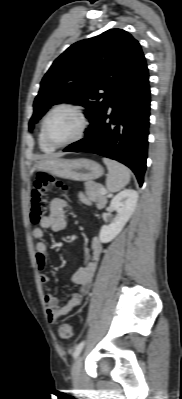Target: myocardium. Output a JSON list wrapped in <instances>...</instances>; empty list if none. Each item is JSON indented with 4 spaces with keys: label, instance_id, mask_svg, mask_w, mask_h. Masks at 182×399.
Masks as SVG:
<instances>
[{
    "label": "myocardium",
    "instance_id": "f54148a6",
    "mask_svg": "<svg viewBox=\"0 0 182 399\" xmlns=\"http://www.w3.org/2000/svg\"><path fill=\"white\" fill-rule=\"evenodd\" d=\"M61 109H68V110H71V111L75 112L78 115L79 119H80V128H79L77 134L74 137H72L71 139H69V140H67L65 142L58 143V142L53 141L48 136L47 123H48V120L51 117V115L53 113H55L56 111L61 110ZM88 126H89L88 117H87L86 113L84 112V110L79 105L74 104V103H61V104H58V105L54 106L46 114V116L43 119L41 128H42V135H43L44 140L50 146H52L54 148H60V147H65V146L71 145V144L81 140L84 137V135H85V133H86V131L88 129Z\"/></svg>",
    "mask_w": 182,
    "mask_h": 399
}]
</instances>
